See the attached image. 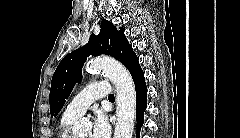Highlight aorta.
<instances>
[{
  "mask_svg": "<svg viewBox=\"0 0 240 138\" xmlns=\"http://www.w3.org/2000/svg\"><path fill=\"white\" fill-rule=\"evenodd\" d=\"M88 72L102 71L114 84L116 90L117 123L114 138H132L136 111V91L128 70L112 58H96L86 65ZM90 127L87 119L78 122L73 131L80 134Z\"/></svg>",
  "mask_w": 240,
  "mask_h": 138,
  "instance_id": "1",
  "label": "aorta"
}]
</instances>
